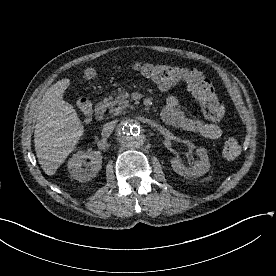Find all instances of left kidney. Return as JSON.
<instances>
[{"label": "left kidney", "instance_id": "left-kidney-1", "mask_svg": "<svg viewBox=\"0 0 276 276\" xmlns=\"http://www.w3.org/2000/svg\"><path fill=\"white\" fill-rule=\"evenodd\" d=\"M199 160L193 162L191 167H186L180 159L173 158L171 159V166L173 170L185 177V178H196L203 176L209 171L210 163L209 158L205 148H198L196 150Z\"/></svg>", "mask_w": 276, "mask_h": 276}]
</instances>
